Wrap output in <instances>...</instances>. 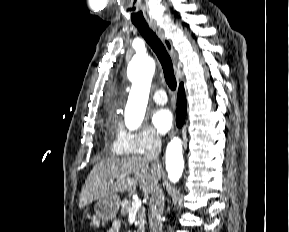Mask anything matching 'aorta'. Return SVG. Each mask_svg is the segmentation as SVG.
Segmentation results:
<instances>
[{"instance_id": "aorta-1", "label": "aorta", "mask_w": 289, "mask_h": 232, "mask_svg": "<svg viewBox=\"0 0 289 232\" xmlns=\"http://www.w3.org/2000/svg\"><path fill=\"white\" fill-rule=\"evenodd\" d=\"M132 88L125 109V121L130 130L137 129L145 116L155 62L148 56H135L130 65ZM166 169L172 183L179 181L183 174L184 160L182 141L174 138L166 148Z\"/></svg>"}]
</instances>
